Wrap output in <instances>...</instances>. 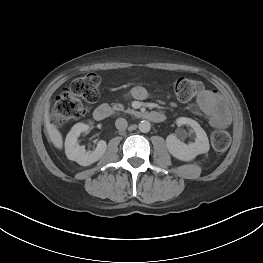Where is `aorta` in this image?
I'll return each mask as SVG.
<instances>
[{"label":"aorta","mask_w":263,"mask_h":263,"mask_svg":"<svg viewBox=\"0 0 263 263\" xmlns=\"http://www.w3.org/2000/svg\"><path fill=\"white\" fill-rule=\"evenodd\" d=\"M138 129L140 130V132L142 133H147L150 131L151 129V124L150 122L146 121V120H143L139 123L138 125Z\"/></svg>","instance_id":"1"}]
</instances>
